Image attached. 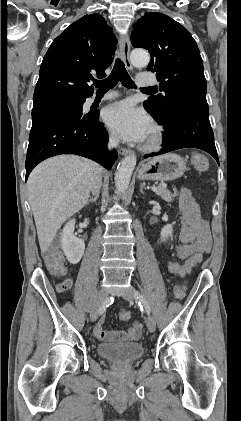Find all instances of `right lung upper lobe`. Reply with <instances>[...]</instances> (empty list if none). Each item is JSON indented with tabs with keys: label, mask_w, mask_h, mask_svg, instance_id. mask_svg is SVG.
Segmentation results:
<instances>
[{
	"label": "right lung upper lobe",
	"mask_w": 241,
	"mask_h": 421,
	"mask_svg": "<svg viewBox=\"0 0 241 421\" xmlns=\"http://www.w3.org/2000/svg\"><path fill=\"white\" fill-rule=\"evenodd\" d=\"M116 44L112 28L99 14L85 15L72 23L53 41L43 58L33 106L91 96L93 86L88 82L93 75L105 76Z\"/></svg>",
	"instance_id": "obj_1"
}]
</instances>
